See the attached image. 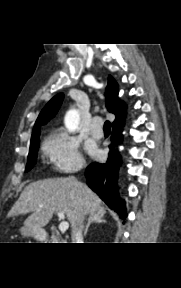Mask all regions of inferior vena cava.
<instances>
[{
  "label": "inferior vena cava",
  "instance_id": "1",
  "mask_svg": "<svg viewBox=\"0 0 181 288\" xmlns=\"http://www.w3.org/2000/svg\"><path fill=\"white\" fill-rule=\"evenodd\" d=\"M82 229H83V221H81L78 227L72 230L71 234L72 243H83Z\"/></svg>",
  "mask_w": 181,
  "mask_h": 288
}]
</instances>
